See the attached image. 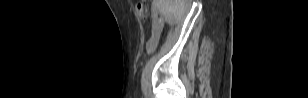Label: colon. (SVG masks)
Masks as SVG:
<instances>
[{
  "instance_id": "colon-1",
  "label": "colon",
  "mask_w": 308,
  "mask_h": 98,
  "mask_svg": "<svg viewBox=\"0 0 308 98\" xmlns=\"http://www.w3.org/2000/svg\"><path fill=\"white\" fill-rule=\"evenodd\" d=\"M136 10L140 18L145 19L147 17V12L143 2H138L136 4Z\"/></svg>"
}]
</instances>
